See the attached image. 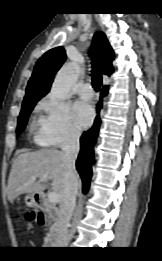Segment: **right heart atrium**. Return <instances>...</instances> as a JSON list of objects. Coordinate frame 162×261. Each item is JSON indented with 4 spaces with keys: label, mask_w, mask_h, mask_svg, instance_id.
<instances>
[{
    "label": "right heart atrium",
    "mask_w": 162,
    "mask_h": 261,
    "mask_svg": "<svg viewBox=\"0 0 162 261\" xmlns=\"http://www.w3.org/2000/svg\"><path fill=\"white\" fill-rule=\"evenodd\" d=\"M39 109L37 142L45 145L62 146L76 142L80 130L71 108L53 95L46 96Z\"/></svg>",
    "instance_id": "1"
}]
</instances>
